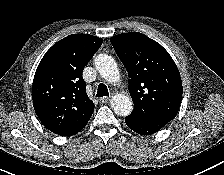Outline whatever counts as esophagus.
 Segmentation results:
<instances>
[{
	"mask_svg": "<svg viewBox=\"0 0 224 175\" xmlns=\"http://www.w3.org/2000/svg\"><path fill=\"white\" fill-rule=\"evenodd\" d=\"M110 101V97H102V98H100V102L102 103V104H106V103H108Z\"/></svg>",
	"mask_w": 224,
	"mask_h": 175,
	"instance_id": "obj_1",
	"label": "esophagus"
}]
</instances>
